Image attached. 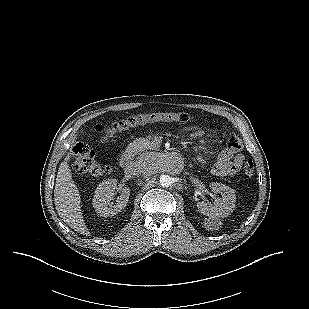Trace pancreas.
Instances as JSON below:
<instances>
[{
	"label": "pancreas",
	"mask_w": 309,
	"mask_h": 309,
	"mask_svg": "<svg viewBox=\"0 0 309 309\" xmlns=\"http://www.w3.org/2000/svg\"><path fill=\"white\" fill-rule=\"evenodd\" d=\"M139 147L141 151H145L147 149H152V144L149 141H144ZM147 154L148 152L140 153L138 156L139 161L142 162Z\"/></svg>",
	"instance_id": "cf45deb5"
}]
</instances>
